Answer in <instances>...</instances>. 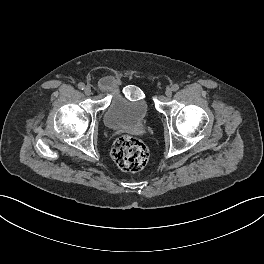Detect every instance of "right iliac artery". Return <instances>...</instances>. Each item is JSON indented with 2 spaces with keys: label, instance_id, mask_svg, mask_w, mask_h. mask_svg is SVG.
Returning a JSON list of instances; mask_svg holds the SVG:
<instances>
[{
  "label": "right iliac artery",
  "instance_id": "obj_1",
  "mask_svg": "<svg viewBox=\"0 0 264 264\" xmlns=\"http://www.w3.org/2000/svg\"><path fill=\"white\" fill-rule=\"evenodd\" d=\"M78 88H79L80 90H83V89L85 88L84 83H79V84H78Z\"/></svg>",
  "mask_w": 264,
  "mask_h": 264
}]
</instances>
